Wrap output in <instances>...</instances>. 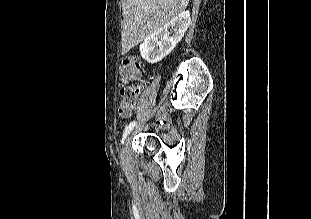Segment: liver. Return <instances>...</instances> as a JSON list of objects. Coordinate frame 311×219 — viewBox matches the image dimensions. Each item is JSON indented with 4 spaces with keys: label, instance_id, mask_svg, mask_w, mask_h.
<instances>
[{
    "label": "liver",
    "instance_id": "liver-1",
    "mask_svg": "<svg viewBox=\"0 0 311 219\" xmlns=\"http://www.w3.org/2000/svg\"><path fill=\"white\" fill-rule=\"evenodd\" d=\"M189 0H122V54L182 13Z\"/></svg>",
    "mask_w": 311,
    "mask_h": 219
}]
</instances>
